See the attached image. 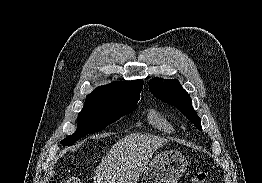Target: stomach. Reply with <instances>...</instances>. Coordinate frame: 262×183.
Here are the masks:
<instances>
[{
    "label": "stomach",
    "instance_id": "obj_1",
    "mask_svg": "<svg viewBox=\"0 0 262 183\" xmlns=\"http://www.w3.org/2000/svg\"><path fill=\"white\" fill-rule=\"evenodd\" d=\"M187 165L185 156L180 152L166 150L150 161L141 183H178Z\"/></svg>",
    "mask_w": 262,
    "mask_h": 183
}]
</instances>
